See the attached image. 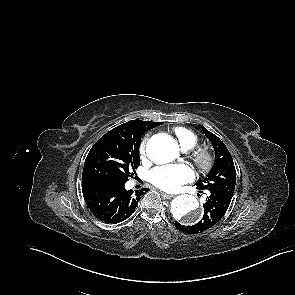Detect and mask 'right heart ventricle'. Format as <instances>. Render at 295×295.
Wrapping results in <instances>:
<instances>
[{"instance_id":"right-heart-ventricle-1","label":"right heart ventricle","mask_w":295,"mask_h":295,"mask_svg":"<svg viewBox=\"0 0 295 295\" xmlns=\"http://www.w3.org/2000/svg\"><path fill=\"white\" fill-rule=\"evenodd\" d=\"M173 133L184 151L195 148L199 143V137L190 129L176 127L173 129Z\"/></svg>"}]
</instances>
